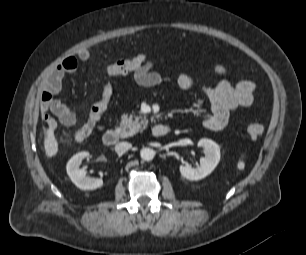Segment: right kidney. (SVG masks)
I'll use <instances>...</instances> for the list:
<instances>
[{
	"label": "right kidney",
	"instance_id": "obj_1",
	"mask_svg": "<svg viewBox=\"0 0 306 255\" xmlns=\"http://www.w3.org/2000/svg\"><path fill=\"white\" fill-rule=\"evenodd\" d=\"M88 156L89 153L86 151L79 152L71 157L66 165L67 174L71 181L82 190H94L103 185L102 179L88 177L86 171L79 168L82 160Z\"/></svg>",
	"mask_w": 306,
	"mask_h": 255
}]
</instances>
